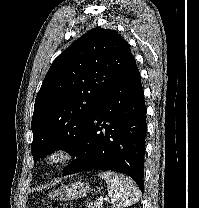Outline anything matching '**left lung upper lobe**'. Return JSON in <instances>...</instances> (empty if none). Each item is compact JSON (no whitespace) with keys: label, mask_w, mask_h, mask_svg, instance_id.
I'll list each match as a JSON object with an SVG mask.
<instances>
[{"label":"left lung upper lobe","mask_w":199,"mask_h":208,"mask_svg":"<svg viewBox=\"0 0 199 208\" xmlns=\"http://www.w3.org/2000/svg\"><path fill=\"white\" fill-rule=\"evenodd\" d=\"M135 61L115 30H89L52 63L37 94L31 129L34 161L55 150L74 153L105 93Z\"/></svg>","instance_id":"1"}]
</instances>
